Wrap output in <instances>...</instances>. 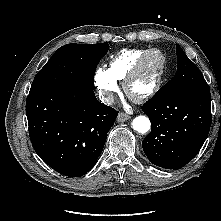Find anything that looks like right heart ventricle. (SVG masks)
Here are the masks:
<instances>
[{
    "mask_svg": "<svg viewBox=\"0 0 221 221\" xmlns=\"http://www.w3.org/2000/svg\"><path fill=\"white\" fill-rule=\"evenodd\" d=\"M145 49H123L112 57L108 70L117 80H124Z\"/></svg>",
    "mask_w": 221,
    "mask_h": 221,
    "instance_id": "obj_1",
    "label": "right heart ventricle"
}]
</instances>
